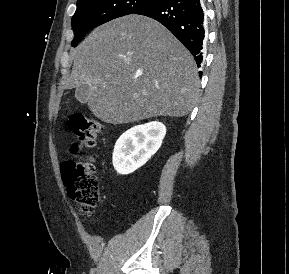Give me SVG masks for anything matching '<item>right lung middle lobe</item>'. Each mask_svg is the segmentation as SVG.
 Here are the masks:
<instances>
[{
	"instance_id": "1",
	"label": "right lung middle lobe",
	"mask_w": 289,
	"mask_h": 274,
	"mask_svg": "<svg viewBox=\"0 0 289 274\" xmlns=\"http://www.w3.org/2000/svg\"><path fill=\"white\" fill-rule=\"evenodd\" d=\"M157 0H78L77 9L72 17L75 47L85 34L94 27L115 18L133 14Z\"/></svg>"
}]
</instances>
